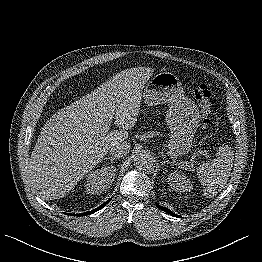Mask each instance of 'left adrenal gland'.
<instances>
[{
	"label": "left adrenal gland",
	"instance_id": "left-adrenal-gland-1",
	"mask_svg": "<svg viewBox=\"0 0 262 262\" xmlns=\"http://www.w3.org/2000/svg\"><path fill=\"white\" fill-rule=\"evenodd\" d=\"M161 156H162V164L165 165L166 163H170L171 165H173L175 163V161L173 160V162L166 160L165 155L161 152Z\"/></svg>",
	"mask_w": 262,
	"mask_h": 262
}]
</instances>
